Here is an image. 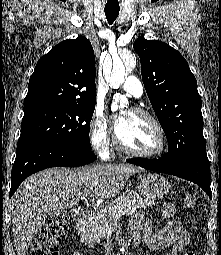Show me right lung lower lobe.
Instances as JSON below:
<instances>
[{
    "label": "right lung lower lobe",
    "mask_w": 221,
    "mask_h": 255,
    "mask_svg": "<svg viewBox=\"0 0 221 255\" xmlns=\"http://www.w3.org/2000/svg\"><path fill=\"white\" fill-rule=\"evenodd\" d=\"M92 150L79 149L35 139H19L11 174L10 196L22 181L40 170L64 166L78 167L93 162Z\"/></svg>",
    "instance_id": "98d812e1"
}]
</instances>
